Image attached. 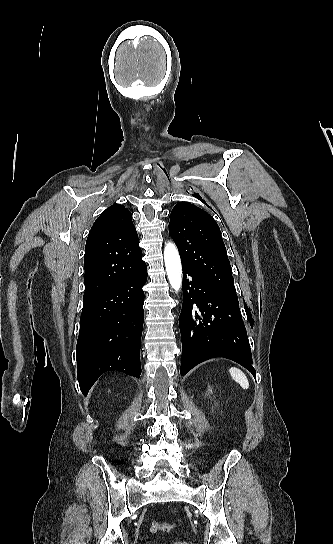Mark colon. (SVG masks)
Here are the masks:
<instances>
[{"label":"colon","mask_w":333,"mask_h":544,"mask_svg":"<svg viewBox=\"0 0 333 544\" xmlns=\"http://www.w3.org/2000/svg\"><path fill=\"white\" fill-rule=\"evenodd\" d=\"M173 529H174V525L169 522L154 521L150 525L151 533H158V532L168 533V532H171Z\"/></svg>","instance_id":"colon-1"}]
</instances>
